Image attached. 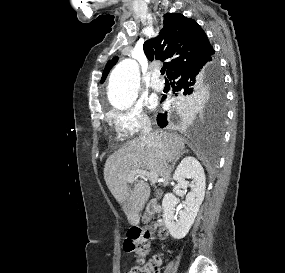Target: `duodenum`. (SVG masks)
I'll use <instances>...</instances> for the list:
<instances>
[{"instance_id":"410a0bca","label":"duodenum","mask_w":285,"mask_h":273,"mask_svg":"<svg viewBox=\"0 0 285 273\" xmlns=\"http://www.w3.org/2000/svg\"><path fill=\"white\" fill-rule=\"evenodd\" d=\"M159 210H160V207L158 203L156 201H152L148 207L147 215L148 216L154 215L158 213Z\"/></svg>"}]
</instances>
